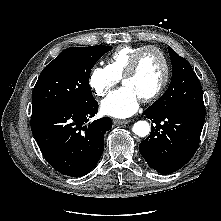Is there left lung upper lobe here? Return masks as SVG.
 <instances>
[{"label": "left lung upper lobe", "instance_id": "1", "mask_svg": "<svg viewBox=\"0 0 221 221\" xmlns=\"http://www.w3.org/2000/svg\"><path fill=\"white\" fill-rule=\"evenodd\" d=\"M172 62L171 83L161 98L146 110L161 112L181 108H203V92L190 63L169 47Z\"/></svg>", "mask_w": 221, "mask_h": 221}]
</instances>
